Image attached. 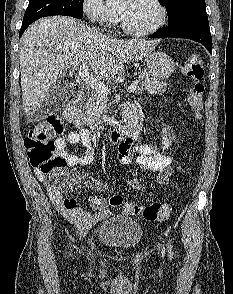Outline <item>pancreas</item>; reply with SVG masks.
<instances>
[{"label": "pancreas", "instance_id": "pancreas-1", "mask_svg": "<svg viewBox=\"0 0 233 294\" xmlns=\"http://www.w3.org/2000/svg\"><path fill=\"white\" fill-rule=\"evenodd\" d=\"M141 80L140 91L146 90L150 94H162L164 88L167 86L166 83L160 82L157 79L149 77L147 73H139ZM107 96L93 91L87 98L86 103L83 106V120L95 130L102 128L103 122L101 117L107 110Z\"/></svg>", "mask_w": 233, "mask_h": 294}]
</instances>
